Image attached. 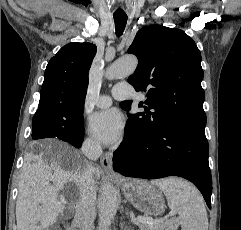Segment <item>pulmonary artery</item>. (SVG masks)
Listing matches in <instances>:
<instances>
[{
    "mask_svg": "<svg viewBox=\"0 0 241 230\" xmlns=\"http://www.w3.org/2000/svg\"><path fill=\"white\" fill-rule=\"evenodd\" d=\"M112 95L118 100L129 99L133 96L132 86L128 83H119L113 88ZM96 105L100 108L109 107L111 105V97L108 95L98 97Z\"/></svg>",
    "mask_w": 241,
    "mask_h": 230,
    "instance_id": "1",
    "label": "pulmonary artery"
}]
</instances>
